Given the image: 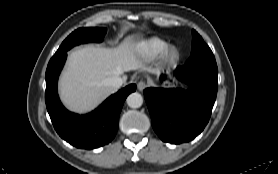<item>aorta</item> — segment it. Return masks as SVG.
<instances>
[{
  "label": "aorta",
  "mask_w": 278,
  "mask_h": 174,
  "mask_svg": "<svg viewBox=\"0 0 278 174\" xmlns=\"http://www.w3.org/2000/svg\"><path fill=\"white\" fill-rule=\"evenodd\" d=\"M126 102L130 108H139L143 104V97L138 92H134L127 97Z\"/></svg>",
  "instance_id": "762f6f07"
}]
</instances>
